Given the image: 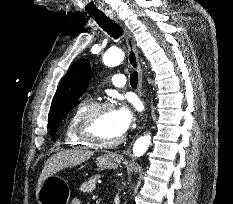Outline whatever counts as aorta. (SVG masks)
Wrapping results in <instances>:
<instances>
[{"label":"aorta","instance_id":"obj_1","mask_svg":"<svg viewBox=\"0 0 233 204\" xmlns=\"http://www.w3.org/2000/svg\"><path fill=\"white\" fill-rule=\"evenodd\" d=\"M125 54L119 48L109 49L103 56V62L106 66L114 67L119 65L124 60ZM151 143V136L149 134L139 137L134 146L133 154L136 157L142 156L148 149Z\"/></svg>","mask_w":233,"mask_h":204}]
</instances>
